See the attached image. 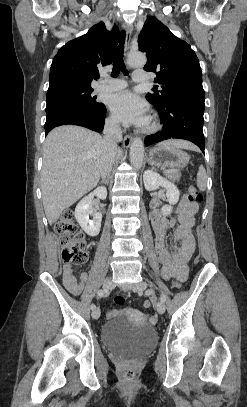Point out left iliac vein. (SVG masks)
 Returning a JSON list of instances; mask_svg holds the SVG:
<instances>
[{"label": "left iliac vein", "mask_w": 247, "mask_h": 407, "mask_svg": "<svg viewBox=\"0 0 247 407\" xmlns=\"http://www.w3.org/2000/svg\"><path fill=\"white\" fill-rule=\"evenodd\" d=\"M146 288H147V283L145 281H141L133 287V291L142 293ZM157 312L159 314H163L165 312V305L163 302L157 303Z\"/></svg>", "instance_id": "left-iliac-vein-1"}]
</instances>
